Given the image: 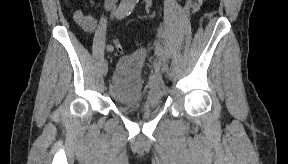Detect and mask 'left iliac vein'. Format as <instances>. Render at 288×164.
I'll return each mask as SVG.
<instances>
[{"label": "left iliac vein", "instance_id": "4c4485c4", "mask_svg": "<svg viewBox=\"0 0 288 164\" xmlns=\"http://www.w3.org/2000/svg\"><path fill=\"white\" fill-rule=\"evenodd\" d=\"M166 68H167L166 62H165V60L163 59V60H162V70H166Z\"/></svg>", "mask_w": 288, "mask_h": 164}]
</instances>
